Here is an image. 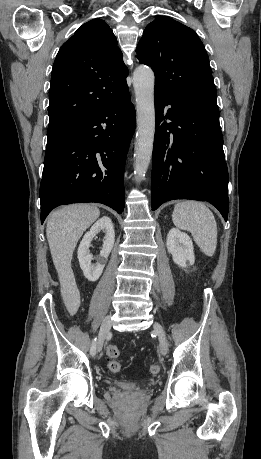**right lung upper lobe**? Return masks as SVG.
Returning a JSON list of instances; mask_svg holds the SVG:
<instances>
[{"instance_id": "right-lung-upper-lobe-1", "label": "right lung upper lobe", "mask_w": 261, "mask_h": 459, "mask_svg": "<svg viewBox=\"0 0 261 459\" xmlns=\"http://www.w3.org/2000/svg\"><path fill=\"white\" fill-rule=\"evenodd\" d=\"M128 69L110 27L82 25L60 48L51 75L49 126L91 116L126 89Z\"/></svg>"}]
</instances>
